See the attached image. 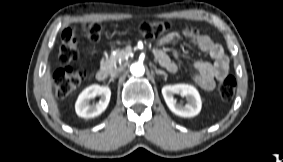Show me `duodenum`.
I'll use <instances>...</instances> for the list:
<instances>
[{
    "mask_svg": "<svg viewBox=\"0 0 283 162\" xmlns=\"http://www.w3.org/2000/svg\"><path fill=\"white\" fill-rule=\"evenodd\" d=\"M107 77H108V71L105 68L99 69L96 73V78L99 81H104L107 79Z\"/></svg>",
    "mask_w": 283,
    "mask_h": 162,
    "instance_id": "duodenum-1",
    "label": "duodenum"
}]
</instances>
